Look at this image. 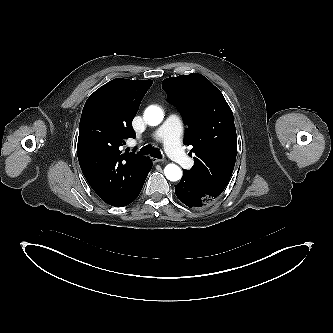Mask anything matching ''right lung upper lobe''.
<instances>
[{"label": "right lung upper lobe", "mask_w": 333, "mask_h": 333, "mask_svg": "<svg viewBox=\"0 0 333 333\" xmlns=\"http://www.w3.org/2000/svg\"><path fill=\"white\" fill-rule=\"evenodd\" d=\"M152 83L116 78L97 89L82 111L77 145L81 170L96 194L115 207L131 196L149 161L119 147L135 137L132 120Z\"/></svg>", "instance_id": "cb5924a9"}]
</instances>
